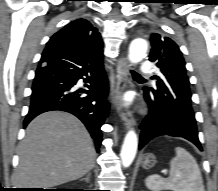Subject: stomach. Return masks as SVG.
Segmentation results:
<instances>
[{
    "label": "stomach",
    "instance_id": "stomach-1",
    "mask_svg": "<svg viewBox=\"0 0 218 191\" xmlns=\"http://www.w3.org/2000/svg\"><path fill=\"white\" fill-rule=\"evenodd\" d=\"M156 162H157L156 157L152 153L145 154L140 160V163L144 169L153 168L155 166Z\"/></svg>",
    "mask_w": 218,
    "mask_h": 191
}]
</instances>
